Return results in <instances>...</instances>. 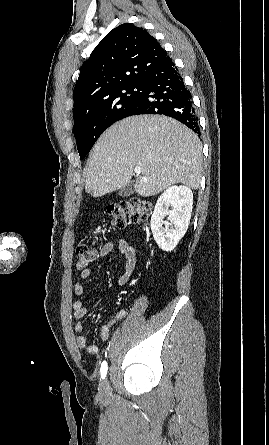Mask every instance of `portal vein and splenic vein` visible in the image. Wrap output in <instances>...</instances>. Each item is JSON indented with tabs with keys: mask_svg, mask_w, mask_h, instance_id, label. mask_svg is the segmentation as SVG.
Wrapping results in <instances>:
<instances>
[{
	"mask_svg": "<svg viewBox=\"0 0 269 445\" xmlns=\"http://www.w3.org/2000/svg\"><path fill=\"white\" fill-rule=\"evenodd\" d=\"M134 171L136 174H140L142 172V169L141 167H135Z\"/></svg>",
	"mask_w": 269,
	"mask_h": 445,
	"instance_id": "portal-vein-and-splenic-vein-1",
	"label": "portal vein and splenic vein"
}]
</instances>
